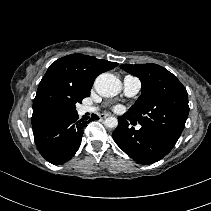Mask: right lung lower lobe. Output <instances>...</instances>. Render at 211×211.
<instances>
[{"label": "right lung lower lobe", "instance_id": "obj_1", "mask_svg": "<svg viewBox=\"0 0 211 211\" xmlns=\"http://www.w3.org/2000/svg\"><path fill=\"white\" fill-rule=\"evenodd\" d=\"M98 118L93 114V120ZM86 123L78 120L76 112L33 128L38 151L54 165L64 164L77 152Z\"/></svg>", "mask_w": 211, "mask_h": 211}]
</instances>
